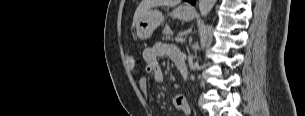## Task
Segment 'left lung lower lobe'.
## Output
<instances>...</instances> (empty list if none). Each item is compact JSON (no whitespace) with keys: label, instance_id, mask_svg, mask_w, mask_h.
<instances>
[{"label":"left lung lower lobe","instance_id":"obj_1","mask_svg":"<svg viewBox=\"0 0 305 116\" xmlns=\"http://www.w3.org/2000/svg\"><path fill=\"white\" fill-rule=\"evenodd\" d=\"M188 2L194 4L195 3V0H187Z\"/></svg>","mask_w":305,"mask_h":116}]
</instances>
